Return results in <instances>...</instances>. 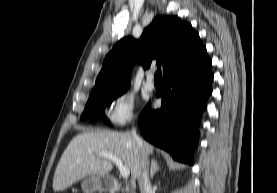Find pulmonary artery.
<instances>
[{
    "label": "pulmonary artery",
    "instance_id": "e3ab8cb5",
    "mask_svg": "<svg viewBox=\"0 0 277 193\" xmlns=\"http://www.w3.org/2000/svg\"><path fill=\"white\" fill-rule=\"evenodd\" d=\"M145 88H146L148 91L154 90L155 85H154L153 75H152V74H149V75H148L147 80H146V82H145Z\"/></svg>",
    "mask_w": 277,
    "mask_h": 193
}]
</instances>
